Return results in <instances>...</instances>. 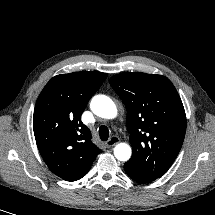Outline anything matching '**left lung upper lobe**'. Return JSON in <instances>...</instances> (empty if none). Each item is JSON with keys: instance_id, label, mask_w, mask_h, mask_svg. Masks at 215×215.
<instances>
[{"instance_id": "5c2ea615", "label": "left lung upper lobe", "mask_w": 215, "mask_h": 215, "mask_svg": "<svg viewBox=\"0 0 215 215\" xmlns=\"http://www.w3.org/2000/svg\"><path fill=\"white\" fill-rule=\"evenodd\" d=\"M127 108L133 154L126 166L159 178L176 159L186 132V115L172 82L162 75L121 73L110 78Z\"/></svg>"}]
</instances>
